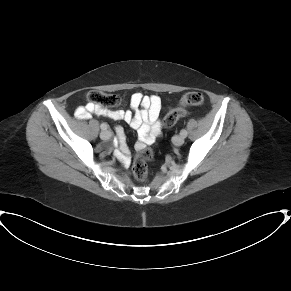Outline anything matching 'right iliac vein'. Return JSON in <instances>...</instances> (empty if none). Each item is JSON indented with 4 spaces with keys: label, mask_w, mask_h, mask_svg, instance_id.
Returning a JSON list of instances; mask_svg holds the SVG:
<instances>
[{
    "label": "right iliac vein",
    "mask_w": 291,
    "mask_h": 291,
    "mask_svg": "<svg viewBox=\"0 0 291 291\" xmlns=\"http://www.w3.org/2000/svg\"><path fill=\"white\" fill-rule=\"evenodd\" d=\"M100 137L103 140H107V139H109L111 137V133L109 131H107V130H104V131H102L100 133Z\"/></svg>",
    "instance_id": "63e3f726"
}]
</instances>
